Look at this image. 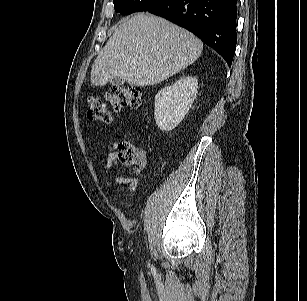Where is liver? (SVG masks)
Instances as JSON below:
<instances>
[{
	"label": "liver",
	"mask_w": 307,
	"mask_h": 301,
	"mask_svg": "<svg viewBox=\"0 0 307 301\" xmlns=\"http://www.w3.org/2000/svg\"><path fill=\"white\" fill-rule=\"evenodd\" d=\"M203 43L161 17L138 13L120 24L95 59L91 83L104 86L121 77L150 86L175 75L201 55Z\"/></svg>",
	"instance_id": "1"
}]
</instances>
